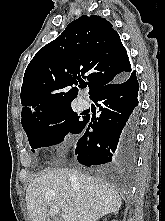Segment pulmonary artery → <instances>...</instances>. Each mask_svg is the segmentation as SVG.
<instances>
[{
	"label": "pulmonary artery",
	"instance_id": "1",
	"mask_svg": "<svg viewBox=\"0 0 165 221\" xmlns=\"http://www.w3.org/2000/svg\"><path fill=\"white\" fill-rule=\"evenodd\" d=\"M78 104H79L80 109H82V110H85L90 106V103L87 99L79 100Z\"/></svg>",
	"mask_w": 165,
	"mask_h": 221
}]
</instances>
